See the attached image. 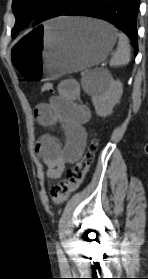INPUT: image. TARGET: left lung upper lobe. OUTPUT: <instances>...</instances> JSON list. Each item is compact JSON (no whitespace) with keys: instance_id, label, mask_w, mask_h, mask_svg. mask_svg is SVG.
Wrapping results in <instances>:
<instances>
[{"instance_id":"obj_1","label":"left lung upper lobe","mask_w":148,"mask_h":279,"mask_svg":"<svg viewBox=\"0 0 148 279\" xmlns=\"http://www.w3.org/2000/svg\"><path fill=\"white\" fill-rule=\"evenodd\" d=\"M74 0H13L12 8L16 17V24L12 30L14 38L20 30L26 27L37 13L45 6L50 5V10H42L41 17L36 20L33 26L40 22L56 17L63 12Z\"/></svg>"}]
</instances>
